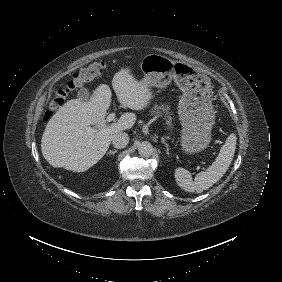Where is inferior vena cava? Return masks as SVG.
<instances>
[{
	"instance_id": "inferior-vena-cava-1",
	"label": "inferior vena cava",
	"mask_w": 282,
	"mask_h": 282,
	"mask_svg": "<svg viewBox=\"0 0 282 282\" xmlns=\"http://www.w3.org/2000/svg\"><path fill=\"white\" fill-rule=\"evenodd\" d=\"M129 142L128 134L125 132H119L113 135L112 143L115 148L121 149L126 147Z\"/></svg>"
}]
</instances>
